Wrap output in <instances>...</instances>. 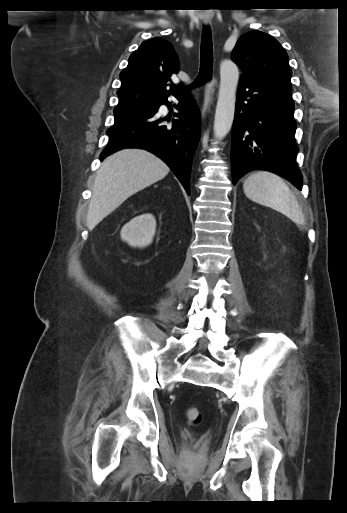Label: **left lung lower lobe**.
<instances>
[{
  "label": "left lung lower lobe",
  "instance_id": "left-lung-lower-lobe-1",
  "mask_svg": "<svg viewBox=\"0 0 347 513\" xmlns=\"http://www.w3.org/2000/svg\"><path fill=\"white\" fill-rule=\"evenodd\" d=\"M291 83L240 79L232 130L233 183L246 172H274L302 189L296 165Z\"/></svg>",
  "mask_w": 347,
  "mask_h": 513
}]
</instances>
